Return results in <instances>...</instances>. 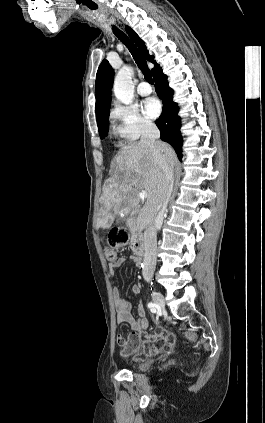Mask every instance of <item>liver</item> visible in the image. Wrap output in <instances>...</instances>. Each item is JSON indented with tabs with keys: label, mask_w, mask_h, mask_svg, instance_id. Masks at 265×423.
<instances>
[{
	"label": "liver",
	"mask_w": 265,
	"mask_h": 423,
	"mask_svg": "<svg viewBox=\"0 0 265 423\" xmlns=\"http://www.w3.org/2000/svg\"><path fill=\"white\" fill-rule=\"evenodd\" d=\"M166 154L173 166L175 154L170 146ZM111 177L103 186L101 210L97 227L108 228L120 213L128 214L140 202L139 192H147L144 206L139 210L137 226L144 229L153 224L161 202L164 173L154 150L140 142L124 146L111 162Z\"/></svg>",
	"instance_id": "6515ba94"
}]
</instances>
